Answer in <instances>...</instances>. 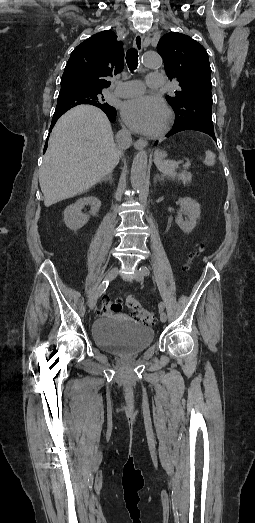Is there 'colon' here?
<instances>
[{"mask_svg": "<svg viewBox=\"0 0 255 523\" xmlns=\"http://www.w3.org/2000/svg\"><path fill=\"white\" fill-rule=\"evenodd\" d=\"M194 256H190L187 260V265H190ZM126 306L132 312L133 316L137 318L143 324H152L155 320L154 315L143 309L140 302L132 296L126 298ZM122 309L121 303L118 301H112L110 299H105L101 307V314L103 315H112L119 313Z\"/></svg>", "mask_w": 255, "mask_h": 523, "instance_id": "colon-1", "label": "colon"}]
</instances>
